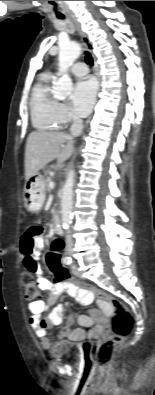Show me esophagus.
<instances>
[{
	"mask_svg": "<svg viewBox=\"0 0 155 395\" xmlns=\"http://www.w3.org/2000/svg\"><path fill=\"white\" fill-rule=\"evenodd\" d=\"M68 16L75 22V24H76V26L78 28V31L80 33L83 45L85 46L87 51H89L92 54V56L94 58V61H95V57H94V54H93V46H92V44H91V42L89 40L88 35L83 31L81 24L79 23V21L77 20V18H76V16L74 14L69 13ZM88 122H89V120L87 121V123Z\"/></svg>",
	"mask_w": 155,
	"mask_h": 395,
	"instance_id": "obj_1",
	"label": "esophagus"
}]
</instances>
